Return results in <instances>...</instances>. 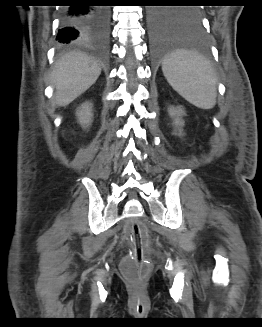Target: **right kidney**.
<instances>
[{"mask_svg":"<svg viewBox=\"0 0 262 327\" xmlns=\"http://www.w3.org/2000/svg\"><path fill=\"white\" fill-rule=\"evenodd\" d=\"M91 108H92L91 104L89 102H86L82 104L77 111L79 122L83 127L88 126L91 122V117H92Z\"/></svg>","mask_w":262,"mask_h":327,"instance_id":"ca27d5eb","label":"right kidney"}]
</instances>
